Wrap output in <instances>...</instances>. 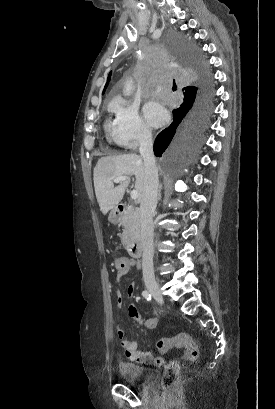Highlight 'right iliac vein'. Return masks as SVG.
Returning a JSON list of instances; mask_svg holds the SVG:
<instances>
[{
    "instance_id": "63e3f726",
    "label": "right iliac vein",
    "mask_w": 275,
    "mask_h": 409,
    "mask_svg": "<svg viewBox=\"0 0 275 409\" xmlns=\"http://www.w3.org/2000/svg\"><path fill=\"white\" fill-rule=\"evenodd\" d=\"M146 287L148 288L149 292L153 295V297L157 301H159L160 303L163 302L162 291L159 288V285L157 282H154V281L146 282Z\"/></svg>"
}]
</instances>
